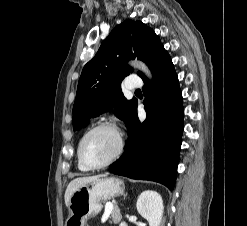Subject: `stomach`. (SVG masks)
<instances>
[{
    "label": "stomach",
    "instance_id": "obj_1",
    "mask_svg": "<svg viewBox=\"0 0 247 226\" xmlns=\"http://www.w3.org/2000/svg\"><path fill=\"white\" fill-rule=\"evenodd\" d=\"M124 189V182L116 177H101L82 185L70 197L65 226H85L89 218L100 212L102 201L123 194Z\"/></svg>",
    "mask_w": 247,
    "mask_h": 226
}]
</instances>
